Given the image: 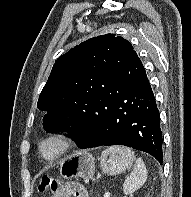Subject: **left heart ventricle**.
I'll use <instances>...</instances> for the list:
<instances>
[{
  "label": "left heart ventricle",
  "mask_w": 191,
  "mask_h": 197,
  "mask_svg": "<svg viewBox=\"0 0 191 197\" xmlns=\"http://www.w3.org/2000/svg\"><path fill=\"white\" fill-rule=\"evenodd\" d=\"M56 149V145L55 144H48L45 148V151L47 154H52Z\"/></svg>",
  "instance_id": "left-heart-ventricle-1"
}]
</instances>
